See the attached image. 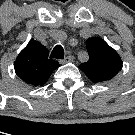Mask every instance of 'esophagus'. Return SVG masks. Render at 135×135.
<instances>
[{
    "mask_svg": "<svg viewBox=\"0 0 135 135\" xmlns=\"http://www.w3.org/2000/svg\"><path fill=\"white\" fill-rule=\"evenodd\" d=\"M72 61H73V57L72 56H67V57H65V59L60 60L59 62L61 64H64V63H68V62H72Z\"/></svg>",
    "mask_w": 135,
    "mask_h": 135,
    "instance_id": "esophagus-1",
    "label": "esophagus"
}]
</instances>
